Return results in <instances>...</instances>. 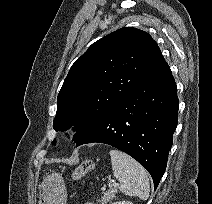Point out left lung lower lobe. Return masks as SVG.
Here are the masks:
<instances>
[{"mask_svg":"<svg viewBox=\"0 0 212 204\" xmlns=\"http://www.w3.org/2000/svg\"><path fill=\"white\" fill-rule=\"evenodd\" d=\"M178 107L176 83L164 60L110 108L76 146L100 142L129 154L151 174L156 189L166 169Z\"/></svg>","mask_w":212,"mask_h":204,"instance_id":"obj_1","label":"left lung lower lobe"}]
</instances>
